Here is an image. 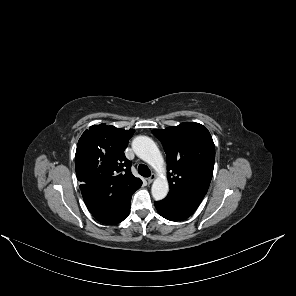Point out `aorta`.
Segmentation results:
<instances>
[{"label":"aorta","mask_w":296,"mask_h":296,"mask_svg":"<svg viewBox=\"0 0 296 296\" xmlns=\"http://www.w3.org/2000/svg\"><path fill=\"white\" fill-rule=\"evenodd\" d=\"M132 148L136 155L147 162L157 173L165 172V163L162 154L155 142L147 136H137L132 142ZM168 181L166 178H157L151 187V193L155 200H162L168 193Z\"/></svg>","instance_id":"1"}]
</instances>
